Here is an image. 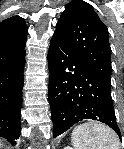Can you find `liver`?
Returning <instances> with one entry per match:
<instances>
[{
	"instance_id": "obj_1",
	"label": "liver",
	"mask_w": 124,
	"mask_h": 149,
	"mask_svg": "<svg viewBox=\"0 0 124 149\" xmlns=\"http://www.w3.org/2000/svg\"><path fill=\"white\" fill-rule=\"evenodd\" d=\"M1 147H3V143H2L1 140H0V148H1Z\"/></svg>"
}]
</instances>
